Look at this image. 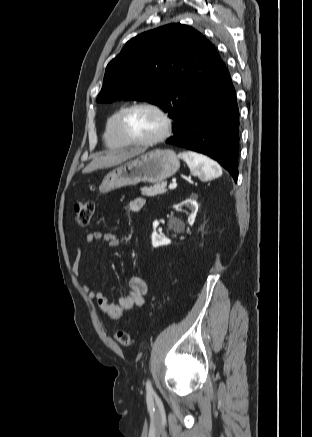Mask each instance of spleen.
Masks as SVG:
<instances>
[{
  "label": "spleen",
  "mask_w": 312,
  "mask_h": 437,
  "mask_svg": "<svg viewBox=\"0 0 312 437\" xmlns=\"http://www.w3.org/2000/svg\"><path fill=\"white\" fill-rule=\"evenodd\" d=\"M178 156L187 163L191 173L202 180H211L222 175L220 165L207 156L193 151L181 152Z\"/></svg>",
  "instance_id": "spleen-1"
}]
</instances>
